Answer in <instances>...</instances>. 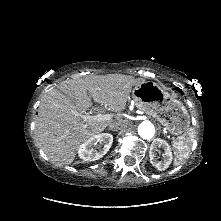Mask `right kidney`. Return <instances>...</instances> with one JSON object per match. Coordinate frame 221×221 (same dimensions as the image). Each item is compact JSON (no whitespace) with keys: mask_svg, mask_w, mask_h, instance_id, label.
<instances>
[{"mask_svg":"<svg viewBox=\"0 0 221 221\" xmlns=\"http://www.w3.org/2000/svg\"><path fill=\"white\" fill-rule=\"evenodd\" d=\"M113 143V136L108 133L95 135L80 145L79 157L87 162L95 161L103 157Z\"/></svg>","mask_w":221,"mask_h":221,"instance_id":"1","label":"right kidney"}]
</instances>
